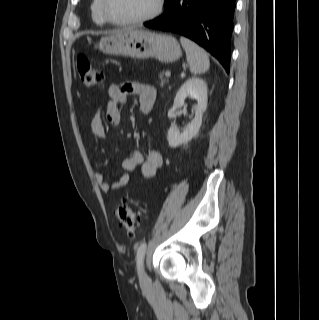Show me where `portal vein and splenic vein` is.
I'll return each instance as SVG.
<instances>
[{
    "mask_svg": "<svg viewBox=\"0 0 319 320\" xmlns=\"http://www.w3.org/2000/svg\"><path fill=\"white\" fill-rule=\"evenodd\" d=\"M170 75H171L170 71H166V72H165V76H166V77H170Z\"/></svg>",
    "mask_w": 319,
    "mask_h": 320,
    "instance_id": "obj_1",
    "label": "portal vein and splenic vein"
}]
</instances>
